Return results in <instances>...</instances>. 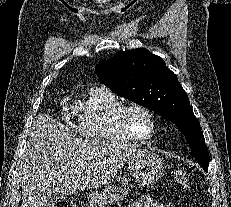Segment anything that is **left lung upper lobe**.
I'll return each instance as SVG.
<instances>
[{
    "label": "left lung upper lobe",
    "instance_id": "5c2ea615",
    "mask_svg": "<svg viewBox=\"0 0 231 207\" xmlns=\"http://www.w3.org/2000/svg\"><path fill=\"white\" fill-rule=\"evenodd\" d=\"M99 80L121 97L143 105L173 122L188 140L203 169L209 153L200 123L177 76L164 60L144 48L118 52L96 67Z\"/></svg>",
    "mask_w": 231,
    "mask_h": 207
}]
</instances>
